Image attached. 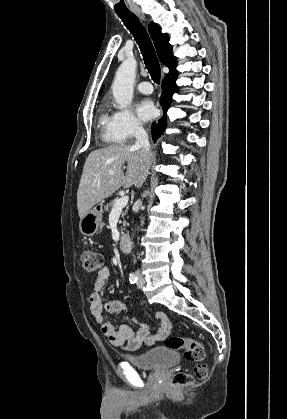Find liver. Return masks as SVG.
Returning a JSON list of instances; mask_svg holds the SVG:
<instances>
[{"label":"liver","instance_id":"6515ba94","mask_svg":"<svg viewBox=\"0 0 287 419\" xmlns=\"http://www.w3.org/2000/svg\"><path fill=\"white\" fill-rule=\"evenodd\" d=\"M125 163L127 171L124 174L122 167ZM150 163L151 154L133 145H111L92 151L86 158L77 191L80 219L121 186H142ZM109 171H113V174L110 175Z\"/></svg>","mask_w":287,"mask_h":419}]
</instances>
